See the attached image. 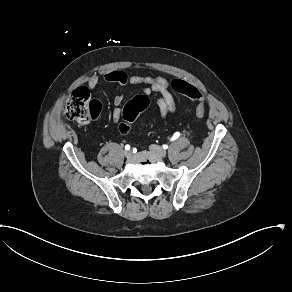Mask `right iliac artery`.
Here are the masks:
<instances>
[{
	"label": "right iliac artery",
	"instance_id": "82829eb1",
	"mask_svg": "<svg viewBox=\"0 0 292 292\" xmlns=\"http://www.w3.org/2000/svg\"><path fill=\"white\" fill-rule=\"evenodd\" d=\"M125 149H126V150H129V149H130V146H129V145H126V146H125Z\"/></svg>",
	"mask_w": 292,
	"mask_h": 292
}]
</instances>
